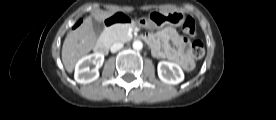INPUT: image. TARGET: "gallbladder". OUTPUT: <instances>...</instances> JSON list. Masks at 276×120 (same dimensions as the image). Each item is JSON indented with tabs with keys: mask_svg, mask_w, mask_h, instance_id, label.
<instances>
[{
	"mask_svg": "<svg viewBox=\"0 0 276 120\" xmlns=\"http://www.w3.org/2000/svg\"><path fill=\"white\" fill-rule=\"evenodd\" d=\"M92 29L96 36H100L104 30V24L100 21H93Z\"/></svg>",
	"mask_w": 276,
	"mask_h": 120,
	"instance_id": "obj_1",
	"label": "gallbladder"
}]
</instances>
